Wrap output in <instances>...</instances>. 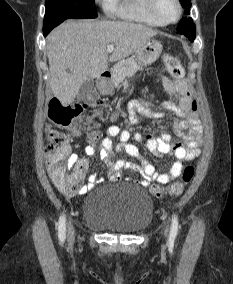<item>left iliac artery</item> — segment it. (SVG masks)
I'll use <instances>...</instances> for the list:
<instances>
[{
	"label": "left iliac artery",
	"instance_id": "obj_1",
	"mask_svg": "<svg viewBox=\"0 0 233 284\" xmlns=\"http://www.w3.org/2000/svg\"><path fill=\"white\" fill-rule=\"evenodd\" d=\"M177 232H178V219L176 215H173L171 231H170L171 237L175 238L177 235Z\"/></svg>",
	"mask_w": 233,
	"mask_h": 284
}]
</instances>
